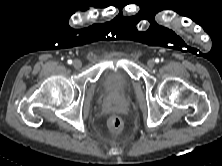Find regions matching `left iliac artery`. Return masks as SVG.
<instances>
[{"label":"left iliac artery","instance_id":"1","mask_svg":"<svg viewBox=\"0 0 222 166\" xmlns=\"http://www.w3.org/2000/svg\"><path fill=\"white\" fill-rule=\"evenodd\" d=\"M155 62H156V63H158V62H159V60H158V59H156V60H155Z\"/></svg>","mask_w":222,"mask_h":166}]
</instances>
